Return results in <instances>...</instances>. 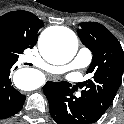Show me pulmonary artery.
<instances>
[{"label": "pulmonary artery", "mask_w": 124, "mask_h": 124, "mask_svg": "<svg viewBox=\"0 0 124 124\" xmlns=\"http://www.w3.org/2000/svg\"><path fill=\"white\" fill-rule=\"evenodd\" d=\"M27 60L34 61L35 66L39 67L43 71L53 74H61L70 69H81L87 67L92 61V52L89 48H80L72 62L65 66H52L33 57H27Z\"/></svg>", "instance_id": "pulmonary-artery-1"}]
</instances>
